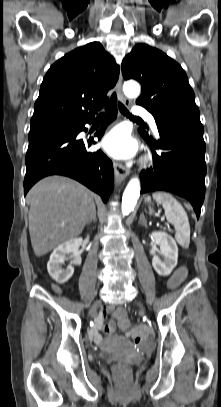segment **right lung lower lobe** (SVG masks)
Wrapping results in <instances>:
<instances>
[{"instance_id":"1","label":"right lung lower lobe","mask_w":221,"mask_h":407,"mask_svg":"<svg viewBox=\"0 0 221 407\" xmlns=\"http://www.w3.org/2000/svg\"><path fill=\"white\" fill-rule=\"evenodd\" d=\"M117 116L114 104L108 106L105 121L96 135L101 139L104 130ZM94 119V118H93ZM93 119L70 124L69 127L44 130L28 135L29 147L26 153V175L24 194L41 178L58 174L71 177L94 192L104 202L108 200L114 186L113 164L101 151L87 152L86 142L76 139L85 124ZM95 143V142H94ZM92 143L88 141V146Z\"/></svg>"}]
</instances>
